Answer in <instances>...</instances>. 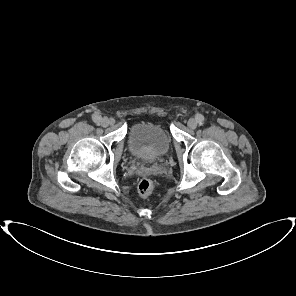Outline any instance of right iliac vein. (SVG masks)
Listing matches in <instances>:
<instances>
[{
	"label": "right iliac vein",
	"instance_id": "63e3f726",
	"mask_svg": "<svg viewBox=\"0 0 296 296\" xmlns=\"http://www.w3.org/2000/svg\"><path fill=\"white\" fill-rule=\"evenodd\" d=\"M100 122H101V125H102L103 127H107V126L110 124L109 119L106 118V117L102 118V119L100 120Z\"/></svg>",
	"mask_w": 296,
	"mask_h": 296
}]
</instances>
